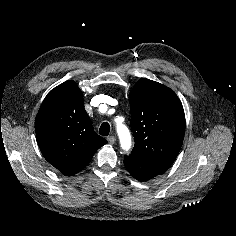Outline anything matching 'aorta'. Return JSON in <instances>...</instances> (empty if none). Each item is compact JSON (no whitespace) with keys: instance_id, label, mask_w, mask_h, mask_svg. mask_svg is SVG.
Masks as SVG:
<instances>
[{"instance_id":"762f6f07","label":"aorta","mask_w":236,"mask_h":236,"mask_svg":"<svg viewBox=\"0 0 236 236\" xmlns=\"http://www.w3.org/2000/svg\"><path fill=\"white\" fill-rule=\"evenodd\" d=\"M117 133L120 140L122 150L129 151L131 148V135L128 128L122 124H117Z\"/></svg>"}]
</instances>
